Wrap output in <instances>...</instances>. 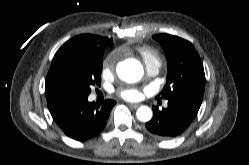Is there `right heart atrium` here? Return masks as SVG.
Returning a JSON list of instances; mask_svg holds the SVG:
<instances>
[{
	"mask_svg": "<svg viewBox=\"0 0 249 165\" xmlns=\"http://www.w3.org/2000/svg\"><path fill=\"white\" fill-rule=\"evenodd\" d=\"M116 58V54L115 53H112L110 56H108V58L104 61L103 63V71H107L110 69L113 61L115 60Z\"/></svg>",
	"mask_w": 249,
	"mask_h": 165,
	"instance_id": "1",
	"label": "right heart atrium"
}]
</instances>
